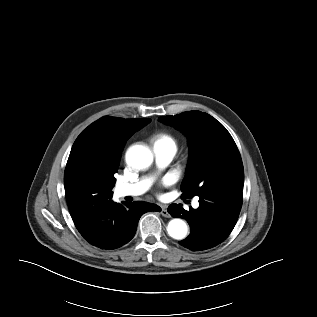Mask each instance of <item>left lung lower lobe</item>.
<instances>
[{"label":"left lung lower lobe","instance_id":"left-lung-lower-lobe-1","mask_svg":"<svg viewBox=\"0 0 317 317\" xmlns=\"http://www.w3.org/2000/svg\"><path fill=\"white\" fill-rule=\"evenodd\" d=\"M242 206V192L214 190L199 196V207L186 211L179 204H171L173 217L186 219L190 235L180 245L191 251H202L223 242L233 230Z\"/></svg>","mask_w":317,"mask_h":317}]
</instances>
